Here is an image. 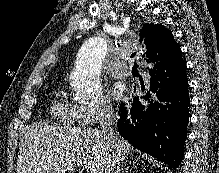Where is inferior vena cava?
<instances>
[{
  "mask_svg": "<svg viewBox=\"0 0 219 173\" xmlns=\"http://www.w3.org/2000/svg\"><path fill=\"white\" fill-rule=\"evenodd\" d=\"M113 117L114 113L111 108H106L104 111L103 116L100 120V126H101V134L103 137V140L107 144H113L115 140V134L113 130ZM119 162L117 160H110L108 162V166L105 169V173H119Z\"/></svg>",
  "mask_w": 219,
  "mask_h": 173,
  "instance_id": "inferior-vena-cava-1",
  "label": "inferior vena cava"
}]
</instances>
